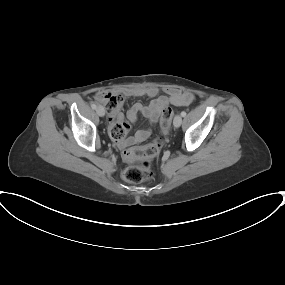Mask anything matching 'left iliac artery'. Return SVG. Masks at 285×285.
<instances>
[{
    "instance_id": "obj_1",
    "label": "left iliac artery",
    "mask_w": 285,
    "mask_h": 285,
    "mask_svg": "<svg viewBox=\"0 0 285 285\" xmlns=\"http://www.w3.org/2000/svg\"><path fill=\"white\" fill-rule=\"evenodd\" d=\"M181 116H182V117H185V116H186V112H185V111H182V112H181Z\"/></svg>"
}]
</instances>
